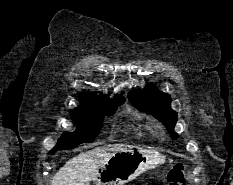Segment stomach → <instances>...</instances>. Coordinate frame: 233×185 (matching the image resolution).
<instances>
[{"label": "stomach", "mask_w": 233, "mask_h": 185, "mask_svg": "<svg viewBox=\"0 0 233 185\" xmlns=\"http://www.w3.org/2000/svg\"><path fill=\"white\" fill-rule=\"evenodd\" d=\"M164 162V156L158 152L127 145L101 166L92 185H124Z\"/></svg>", "instance_id": "1"}]
</instances>
